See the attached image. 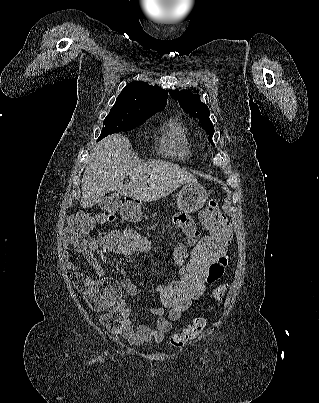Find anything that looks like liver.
<instances>
[{
    "label": "liver",
    "mask_w": 319,
    "mask_h": 403,
    "mask_svg": "<svg viewBox=\"0 0 319 403\" xmlns=\"http://www.w3.org/2000/svg\"><path fill=\"white\" fill-rule=\"evenodd\" d=\"M129 140L112 134L101 140L89 157L83 174L80 206L99 203L108 192L143 202L168 196L178 187L197 179L176 164L153 160L134 164ZM126 176L130 182L123 184Z\"/></svg>",
    "instance_id": "obj_1"
}]
</instances>
